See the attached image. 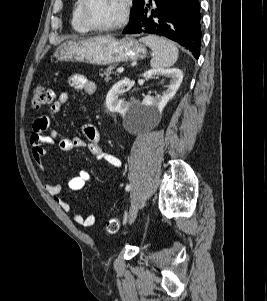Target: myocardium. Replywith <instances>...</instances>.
<instances>
[{"instance_id":"obj_1","label":"myocardium","mask_w":267,"mask_h":301,"mask_svg":"<svg viewBox=\"0 0 267 301\" xmlns=\"http://www.w3.org/2000/svg\"><path fill=\"white\" fill-rule=\"evenodd\" d=\"M122 2H123V10L120 18L116 22L107 25H96L90 20L88 16V7H89L90 0H82V5H81L82 20L90 30L99 31V32L117 30L123 27L128 22L131 14V9H132V0H123Z\"/></svg>"}]
</instances>
